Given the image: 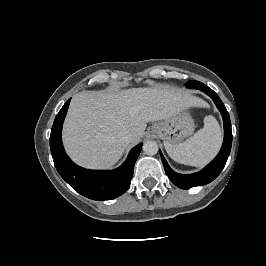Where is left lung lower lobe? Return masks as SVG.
<instances>
[{
	"label": "left lung lower lobe",
	"mask_w": 266,
	"mask_h": 266,
	"mask_svg": "<svg viewBox=\"0 0 266 266\" xmlns=\"http://www.w3.org/2000/svg\"><path fill=\"white\" fill-rule=\"evenodd\" d=\"M186 87L199 89L205 92L208 96H210L213 99L214 103L216 104L217 108L219 109L223 117L224 141H223V145H222V148L219 154L216 156V158L211 163H209L201 171L194 173V174H188V175L178 174L174 172L169 167V165L167 164L165 158L163 157L160 151L164 169H165V172L168 178L172 181V183H174L176 186L182 189H189L195 186H202V185L208 184L211 181H213L224 168L226 161L228 159V156L230 154L231 145H232V131H231V122H230L229 114L223 102L218 97V95L212 89H210L209 87H207L206 85H204L203 83L199 81H192L186 84Z\"/></svg>",
	"instance_id": "obj_1"
}]
</instances>
